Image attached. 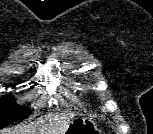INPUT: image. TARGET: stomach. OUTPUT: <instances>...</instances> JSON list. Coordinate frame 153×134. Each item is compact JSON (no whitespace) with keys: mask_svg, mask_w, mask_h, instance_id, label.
<instances>
[{"mask_svg":"<svg viewBox=\"0 0 153 134\" xmlns=\"http://www.w3.org/2000/svg\"><path fill=\"white\" fill-rule=\"evenodd\" d=\"M63 134H99V129L91 119L77 117L69 122Z\"/></svg>","mask_w":153,"mask_h":134,"instance_id":"1","label":"stomach"}]
</instances>
